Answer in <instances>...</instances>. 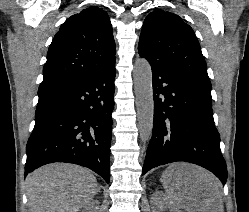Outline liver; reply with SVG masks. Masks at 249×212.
Here are the masks:
<instances>
[{
    "label": "liver",
    "instance_id": "6515ba94",
    "mask_svg": "<svg viewBox=\"0 0 249 212\" xmlns=\"http://www.w3.org/2000/svg\"><path fill=\"white\" fill-rule=\"evenodd\" d=\"M168 190L172 210L224 212L219 182L194 164H171ZM29 212H79L97 194L98 184L90 170L75 164H47L26 178ZM168 194V192H167Z\"/></svg>",
    "mask_w": 249,
    "mask_h": 212
}]
</instances>
